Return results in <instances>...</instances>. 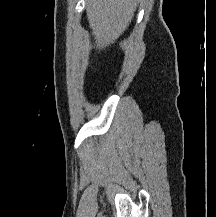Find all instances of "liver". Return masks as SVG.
<instances>
[{"label": "liver", "instance_id": "obj_1", "mask_svg": "<svg viewBox=\"0 0 216 217\" xmlns=\"http://www.w3.org/2000/svg\"><path fill=\"white\" fill-rule=\"evenodd\" d=\"M138 0H88L86 13L99 49L114 43L129 26Z\"/></svg>", "mask_w": 216, "mask_h": 217}]
</instances>
